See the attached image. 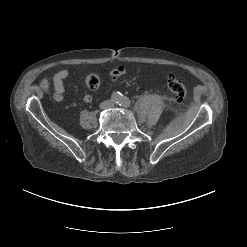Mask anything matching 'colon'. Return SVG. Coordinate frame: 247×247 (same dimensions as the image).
<instances>
[{"instance_id": "1", "label": "colon", "mask_w": 247, "mask_h": 247, "mask_svg": "<svg viewBox=\"0 0 247 247\" xmlns=\"http://www.w3.org/2000/svg\"><path fill=\"white\" fill-rule=\"evenodd\" d=\"M86 84L90 89L98 88L100 85V76L95 72L89 73L86 76ZM44 85L46 87V83ZM167 91L176 102H182L187 95L186 86L174 75L170 76L167 81Z\"/></svg>"}]
</instances>
